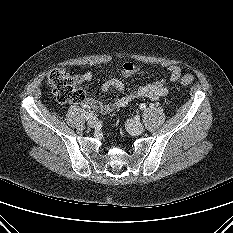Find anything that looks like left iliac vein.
<instances>
[{
  "label": "left iliac vein",
  "instance_id": "left-iliac-vein-1",
  "mask_svg": "<svg viewBox=\"0 0 233 233\" xmlns=\"http://www.w3.org/2000/svg\"><path fill=\"white\" fill-rule=\"evenodd\" d=\"M126 126L128 131L133 135H139L144 131L143 124L134 120L127 121Z\"/></svg>",
  "mask_w": 233,
  "mask_h": 233
}]
</instances>
